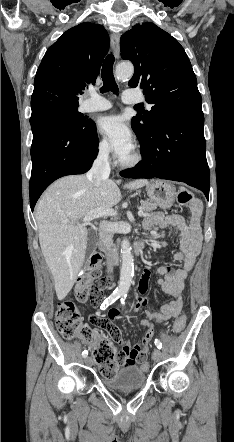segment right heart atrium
Here are the masks:
<instances>
[{
	"instance_id": "obj_1",
	"label": "right heart atrium",
	"mask_w": 234,
	"mask_h": 442,
	"mask_svg": "<svg viewBox=\"0 0 234 442\" xmlns=\"http://www.w3.org/2000/svg\"><path fill=\"white\" fill-rule=\"evenodd\" d=\"M96 153L100 160H108L111 153L110 144L103 139L99 140L96 146Z\"/></svg>"
}]
</instances>
